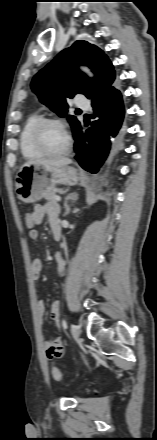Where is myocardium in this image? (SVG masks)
<instances>
[{
  "mask_svg": "<svg viewBox=\"0 0 157 440\" xmlns=\"http://www.w3.org/2000/svg\"><path fill=\"white\" fill-rule=\"evenodd\" d=\"M48 125H58L64 130L66 137H67V144H66L65 148L62 149L61 151L54 152V151L48 150L45 147V145L42 141V131ZM31 142L34 145V147L38 151H40L42 154L48 155V156H55V157L68 154L71 151L72 145H73L72 137H71L70 133L68 132L65 124L63 123V121H61L60 119H57V118H42L41 120H39L32 129Z\"/></svg>",
  "mask_w": 157,
  "mask_h": 440,
  "instance_id": "f54148a6",
  "label": "myocardium"
}]
</instances>
